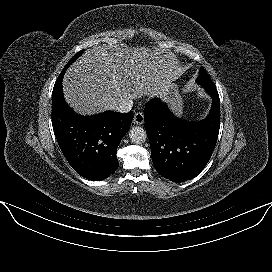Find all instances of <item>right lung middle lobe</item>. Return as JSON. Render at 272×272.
Segmentation results:
<instances>
[{"label":"right lung middle lobe","instance_id":"1","mask_svg":"<svg viewBox=\"0 0 272 272\" xmlns=\"http://www.w3.org/2000/svg\"><path fill=\"white\" fill-rule=\"evenodd\" d=\"M82 53H83V50L78 52L76 55H74L72 59L66 64V66L64 67L63 71L61 72L59 76H63L66 68H68L71 65V63L74 62Z\"/></svg>","mask_w":272,"mask_h":272}]
</instances>
